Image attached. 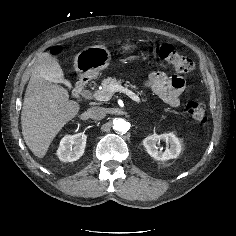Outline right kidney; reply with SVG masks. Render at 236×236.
<instances>
[{
	"label": "right kidney",
	"instance_id": "ca27d5eb",
	"mask_svg": "<svg viewBox=\"0 0 236 236\" xmlns=\"http://www.w3.org/2000/svg\"><path fill=\"white\" fill-rule=\"evenodd\" d=\"M87 136L84 133L66 135L60 141L57 156L63 162L78 160L84 153Z\"/></svg>",
	"mask_w": 236,
	"mask_h": 236
}]
</instances>
